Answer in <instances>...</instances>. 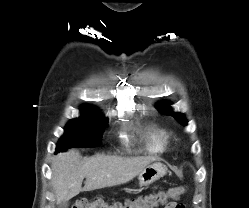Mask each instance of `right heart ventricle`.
Returning <instances> with one entry per match:
<instances>
[{"label":"right heart ventricle","instance_id":"obj_1","mask_svg":"<svg viewBox=\"0 0 249 208\" xmlns=\"http://www.w3.org/2000/svg\"><path fill=\"white\" fill-rule=\"evenodd\" d=\"M146 148L154 153L163 152L169 144V134L162 127L150 124L143 132Z\"/></svg>","mask_w":249,"mask_h":208}]
</instances>
